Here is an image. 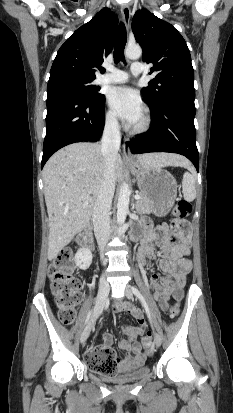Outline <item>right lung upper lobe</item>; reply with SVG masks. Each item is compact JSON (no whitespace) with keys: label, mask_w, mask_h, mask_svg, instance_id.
<instances>
[{"label":"right lung upper lobe","mask_w":233,"mask_h":413,"mask_svg":"<svg viewBox=\"0 0 233 413\" xmlns=\"http://www.w3.org/2000/svg\"><path fill=\"white\" fill-rule=\"evenodd\" d=\"M117 23V15L104 8L76 30L60 47L49 81L62 77L95 79L96 68L113 48Z\"/></svg>","instance_id":"cb5924a9"}]
</instances>
